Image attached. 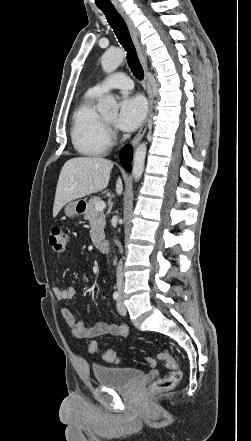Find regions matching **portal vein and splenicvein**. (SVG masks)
I'll return each instance as SVG.
<instances>
[{
  "label": "portal vein and splenic vein",
  "mask_w": 251,
  "mask_h": 441,
  "mask_svg": "<svg viewBox=\"0 0 251 441\" xmlns=\"http://www.w3.org/2000/svg\"><path fill=\"white\" fill-rule=\"evenodd\" d=\"M105 207H106V204H105L104 201H99V202H97L96 205H95V209H96L97 211H102V210L105 209Z\"/></svg>",
  "instance_id": "portal-vein-and-splenic-vein-1"
}]
</instances>
